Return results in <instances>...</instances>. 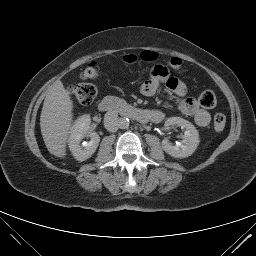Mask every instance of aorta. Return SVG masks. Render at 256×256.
<instances>
[{
    "label": "aorta",
    "mask_w": 256,
    "mask_h": 256,
    "mask_svg": "<svg viewBox=\"0 0 256 256\" xmlns=\"http://www.w3.org/2000/svg\"><path fill=\"white\" fill-rule=\"evenodd\" d=\"M130 121L127 117L120 118L119 127L121 129H126L129 127Z\"/></svg>",
    "instance_id": "1"
}]
</instances>
